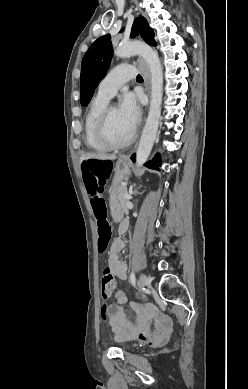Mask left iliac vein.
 I'll use <instances>...</instances> for the list:
<instances>
[{
	"label": "left iliac vein",
	"instance_id": "1",
	"mask_svg": "<svg viewBox=\"0 0 248 389\" xmlns=\"http://www.w3.org/2000/svg\"><path fill=\"white\" fill-rule=\"evenodd\" d=\"M148 284V278L145 274H141L139 277V285L141 288H144Z\"/></svg>",
	"mask_w": 248,
	"mask_h": 389
}]
</instances>
